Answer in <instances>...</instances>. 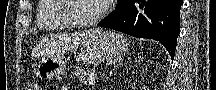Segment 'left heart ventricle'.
Segmentation results:
<instances>
[{
	"instance_id": "b2bd125f",
	"label": "left heart ventricle",
	"mask_w": 216,
	"mask_h": 90,
	"mask_svg": "<svg viewBox=\"0 0 216 90\" xmlns=\"http://www.w3.org/2000/svg\"><path fill=\"white\" fill-rule=\"evenodd\" d=\"M69 6H73V12L70 14L75 19L86 21L92 19L99 13L101 8V1L69 0Z\"/></svg>"
}]
</instances>
